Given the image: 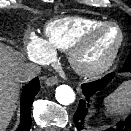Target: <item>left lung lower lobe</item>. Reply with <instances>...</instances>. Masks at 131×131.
Here are the masks:
<instances>
[{"mask_svg":"<svg viewBox=\"0 0 131 131\" xmlns=\"http://www.w3.org/2000/svg\"><path fill=\"white\" fill-rule=\"evenodd\" d=\"M120 72H131V66L123 67ZM114 75V73H110L101 80L81 85L86 99L80 100L73 117L75 127L78 131H90L92 129V125L87 121V115L90 107V97L97 91H101L114 78ZM102 131H131V115Z\"/></svg>","mask_w":131,"mask_h":131,"instance_id":"left-lung-lower-lobe-1","label":"left lung lower lobe"}]
</instances>
